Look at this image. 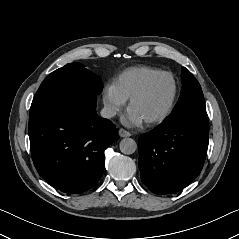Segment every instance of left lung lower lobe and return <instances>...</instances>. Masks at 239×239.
I'll list each match as a JSON object with an SVG mask.
<instances>
[{
	"instance_id": "left-lung-lower-lobe-1",
	"label": "left lung lower lobe",
	"mask_w": 239,
	"mask_h": 239,
	"mask_svg": "<svg viewBox=\"0 0 239 239\" xmlns=\"http://www.w3.org/2000/svg\"><path fill=\"white\" fill-rule=\"evenodd\" d=\"M206 110H189L139 137L141 179L155 194H170L200 174L208 146Z\"/></svg>"
}]
</instances>
